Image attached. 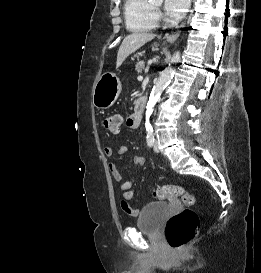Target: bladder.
I'll list each match as a JSON object with an SVG mask.
<instances>
[{
	"instance_id": "obj_1",
	"label": "bladder",
	"mask_w": 261,
	"mask_h": 273,
	"mask_svg": "<svg viewBox=\"0 0 261 273\" xmlns=\"http://www.w3.org/2000/svg\"><path fill=\"white\" fill-rule=\"evenodd\" d=\"M169 208L170 205L166 202H152L146 204L142 208L136 221L138 229L146 234H157L168 214Z\"/></svg>"
}]
</instances>
